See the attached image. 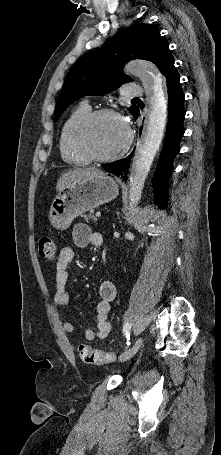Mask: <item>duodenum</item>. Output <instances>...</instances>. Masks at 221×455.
<instances>
[{
    "mask_svg": "<svg viewBox=\"0 0 221 455\" xmlns=\"http://www.w3.org/2000/svg\"><path fill=\"white\" fill-rule=\"evenodd\" d=\"M103 244V241L99 243V246H101Z\"/></svg>",
    "mask_w": 221,
    "mask_h": 455,
    "instance_id": "duodenum-1",
    "label": "duodenum"
}]
</instances>
